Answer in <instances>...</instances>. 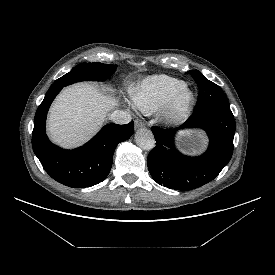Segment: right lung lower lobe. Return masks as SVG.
I'll list each match as a JSON object with an SVG mask.
<instances>
[{
  "label": "right lung lower lobe",
  "instance_id": "98d812e1",
  "mask_svg": "<svg viewBox=\"0 0 275 275\" xmlns=\"http://www.w3.org/2000/svg\"><path fill=\"white\" fill-rule=\"evenodd\" d=\"M63 87H52L39 105L34 119L32 147L45 171L57 182L73 188L90 187L109 174L116 146L134 133V122L126 125L108 124L89 142L64 150L52 144L45 133L49 107Z\"/></svg>",
  "mask_w": 275,
  "mask_h": 275
}]
</instances>
